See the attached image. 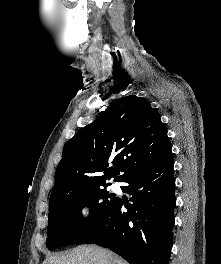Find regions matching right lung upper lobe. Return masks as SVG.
Segmentation results:
<instances>
[{
	"label": "right lung upper lobe",
	"mask_w": 221,
	"mask_h": 264,
	"mask_svg": "<svg viewBox=\"0 0 221 264\" xmlns=\"http://www.w3.org/2000/svg\"><path fill=\"white\" fill-rule=\"evenodd\" d=\"M171 153L160 114L135 95L117 99L66 143L50 209L68 195L106 185L112 177L121 182Z\"/></svg>",
	"instance_id": "cb5924a9"
}]
</instances>
